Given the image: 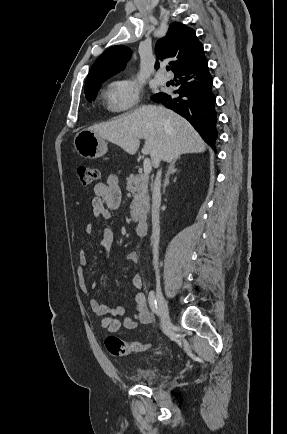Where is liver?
<instances>
[{"label":"liver","mask_w":287,"mask_h":434,"mask_svg":"<svg viewBox=\"0 0 287 434\" xmlns=\"http://www.w3.org/2000/svg\"><path fill=\"white\" fill-rule=\"evenodd\" d=\"M89 130L134 155L145 139L143 155H150L153 167L182 154L202 153L206 144L190 123L175 112L156 105H142L133 112Z\"/></svg>","instance_id":"obj_1"}]
</instances>
